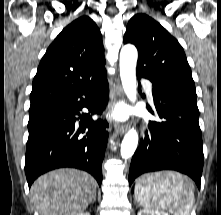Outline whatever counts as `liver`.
<instances>
[{"instance_id":"liver-1","label":"liver","mask_w":221,"mask_h":215,"mask_svg":"<svg viewBox=\"0 0 221 215\" xmlns=\"http://www.w3.org/2000/svg\"><path fill=\"white\" fill-rule=\"evenodd\" d=\"M96 184L88 173L62 168L40 176L31 187L40 215H78L94 199Z\"/></svg>"}]
</instances>
